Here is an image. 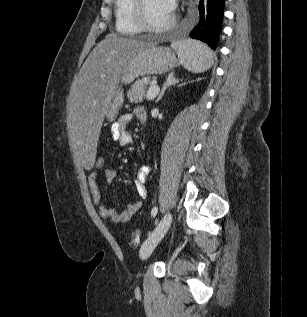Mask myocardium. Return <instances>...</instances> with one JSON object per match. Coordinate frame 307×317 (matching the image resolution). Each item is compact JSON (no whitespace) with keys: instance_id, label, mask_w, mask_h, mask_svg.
<instances>
[{"instance_id":"myocardium-1","label":"myocardium","mask_w":307,"mask_h":317,"mask_svg":"<svg viewBox=\"0 0 307 317\" xmlns=\"http://www.w3.org/2000/svg\"><path fill=\"white\" fill-rule=\"evenodd\" d=\"M132 9H133V17L137 26L142 31L150 32V33H164L167 32L171 27H173L176 23V16L173 14L169 20V22L165 23L162 26H153L147 20L146 17V0H132Z\"/></svg>"}]
</instances>
